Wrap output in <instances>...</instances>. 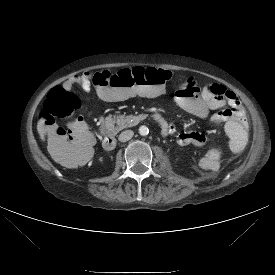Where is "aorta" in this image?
I'll use <instances>...</instances> for the list:
<instances>
[{"instance_id": "obj_1", "label": "aorta", "mask_w": 275, "mask_h": 275, "mask_svg": "<svg viewBox=\"0 0 275 275\" xmlns=\"http://www.w3.org/2000/svg\"><path fill=\"white\" fill-rule=\"evenodd\" d=\"M148 133H149L148 127H146L144 125H142V126L139 127V134L140 135L146 136V135H148Z\"/></svg>"}]
</instances>
